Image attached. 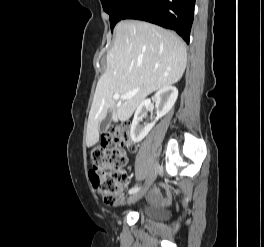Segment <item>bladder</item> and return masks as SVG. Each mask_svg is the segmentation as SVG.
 <instances>
[{"instance_id": "obj_1", "label": "bladder", "mask_w": 264, "mask_h": 247, "mask_svg": "<svg viewBox=\"0 0 264 247\" xmlns=\"http://www.w3.org/2000/svg\"><path fill=\"white\" fill-rule=\"evenodd\" d=\"M143 216L153 222H165L169 218V214L164 208L156 206L146 207Z\"/></svg>"}]
</instances>
